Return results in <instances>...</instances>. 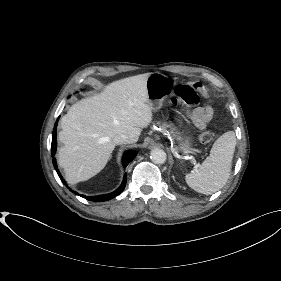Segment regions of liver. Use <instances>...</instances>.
<instances>
[{
	"instance_id": "1",
	"label": "liver",
	"mask_w": 281,
	"mask_h": 281,
	"mask_svg": "<svg viewBox=\"0 0 281 281\" xmlns=\"http://www.w3.org/2000/svg\"><path fill=\"white\" fill-rule=\"evenodd\" d=\"M150 73L124 78L103 92L72 105L61 120L59 164L68 183L86 181L107 164L116 146L113 138L126 134L135 143L152 121L147 103Z\"/></svg>"
}]
</instances>
